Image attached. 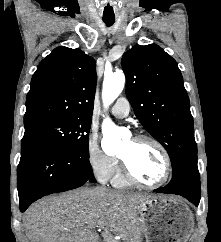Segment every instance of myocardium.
Returning a JSON list of instances; mask_svg holds the SVG:
<instances>
[{
    "instance_id": "1",
    "label": "myocardium",
    "mask_w": 221,
    "mask_h": 242,
    "mask_svg": "<svg viewBox=\"0 0 221 242\" xmlns=\"http://www.w3.org/2000/svg\"><path fill=\"white\" fill-rule=\"evenodd\" d=\"M134 141L136 142H151L153 143L161 152L163 159H164V174L160 180H158L155 183H146L142 181L140 178H138L133 171L131 170L128 162L121 156H119L120 162H121V167L123 170V173L125 177L133 184H136L140 187L147 188V189H154L162 186L164 183L167 182L171 175L172 171V162H171V157L166 149V147L155 137L147 135V134H141L137 135L133 138Z\"/></svg>"
}]
</instances>
